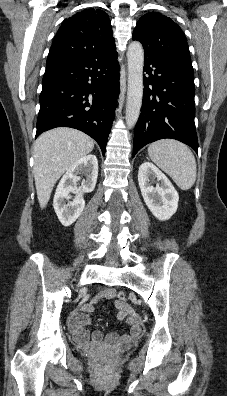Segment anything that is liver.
I'll return each mask as SVG.
<instances>
[{
  "mask_svg": "<svg viewBox=\"0 0 227 396\" xmlns=\"http://www.w3.org/2000/svg\"><path fill=\"white\" fill-rule=\"evenodd\" d=\"M94 140L72 128L44 132L34 144V178L40 207H46L58 179L75 162L89 154Z\"/></svg>",
  "mask_w": 227,
  "mask_h": 396,
  "instance_id": "obj_1",
  "label": "liver"
}]
</instances>
